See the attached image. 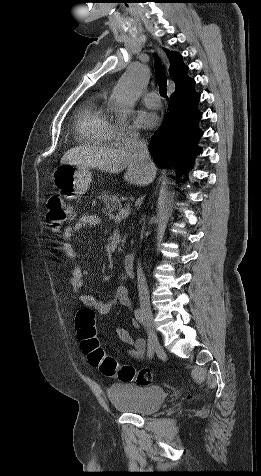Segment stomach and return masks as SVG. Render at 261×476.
I'll use <instances>...</instances> for the list:
<instances>
[{"instance_id": "1", "label": "stomach", "mask_w": 261, "mask_h": 476, "mask_svg": "<svg viewBox=\"0 0 261 476\" xmlns=\"http://www.w3.org/2000/svg\"><path fill=\"white\" fill-rule=\"evenodd\" d=\"M53 179L65 197L75 199L89 189L92 174L89 168L63 164L54 170Z\"/></svg>"}]
</instances>
